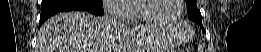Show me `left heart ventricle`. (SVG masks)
I'll return each mask as SVG.
<instances>
[{
  "instance_id": "1",
  "label": "left heart ventricle",
  "mask_w": 261,
  "mask_h": 52,
  "mask_svg": "<svg viewBox=\"0 0 261 52\" xmlns=\"http://www.w3.org/2000/svg\"><path fill=\"white\" fill-rule=\"evenodd\" d=\"M145 12L151 16L161 19H172L178 13L177 0H154L146 3Z\"/></svg>"
}]
</instances>
